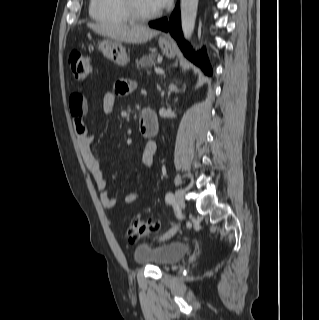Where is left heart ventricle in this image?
I'll return each mask as SVG.
<instances>
[{"instance_id": "obj_1", "label": "left heart ventricle", "mask_w": 319, "mask_h": 320, "mask_svg": "<svg viewBox=\"0 0 319 320\" xmlns=\"http://www.w3.org/2000/svg\"><path fill=\"white\" fill-rule=\"evenodd\" d=\"M136 4L142 13H152L158 10L152 0H136Z\"/></svg>"}]
</instances>
